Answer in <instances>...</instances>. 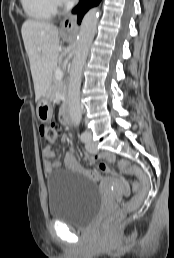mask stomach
<instances>
[{
	"mask_svg": "<svg viewBox=\"0 0 174 258\" xmlns=\"http://www.w3.org/2000/svg\"><path fill=\"white\" fill-rule=\"evenodd\" d=\"M52 98L50 89L39 99L37 104V116L39 120L46 122L51 119L53 114Z\"/></svg>",
	"mask_w": 174,
	"mask_h": 258,
	"instance_id": "obj_1",
	"label": "stomach"
}]
</instances>
